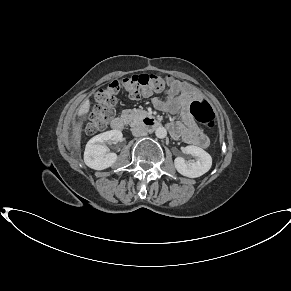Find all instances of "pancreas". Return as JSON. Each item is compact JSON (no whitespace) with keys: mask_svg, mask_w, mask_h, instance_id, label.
<instances>
[{"mask_svg":"<svg viewBox=\"0 0 291 291\" xmlns=\"http://www.w3.org/2000/svg\"><path fill=\"white\" fill-rule=\"evenodd\" d=\"M122 116L127 119L130 126H135L148 116V112L140 109H127L123 110Z\"/></svg>","mask_w":291,"mask_h":291,"instance_id":"obj_1","label":"pancreas"}]
</instances>
